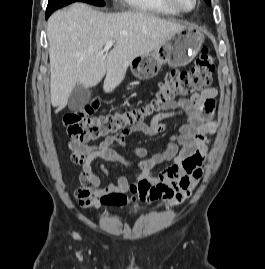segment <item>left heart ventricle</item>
I'll return each instance as SVG.
<instances>
[{"label":"left heart ventricle","instance_id":"b2bd125f","mask_svg":"<svg viewBox=\"0 0 265 269\" xmlns=\"http://www.w3.org/2000/svg\"><path fill=\"white\" fill-rule=\"evenodd\" d=\"M178 3L185 7V8H191L193 5V0H177Z\"/></svg>","mask_w":265,"mask_h":269}]
</instances>
